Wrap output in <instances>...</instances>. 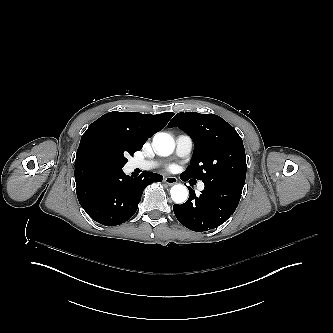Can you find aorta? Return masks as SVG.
Returning <instances> with one entry per match:
<instances>
[{
    "instance_id": "aorta-1",
    "label": "aorta",
    "mask_w": 333,
    "mask_h": 333,
    "mask_svg": "<svg viewBox=\"0 0 333 333\" xmlns=\"http://www.w3.org/2000/svg\"><path fill=\"white\" fill-rule=\"evenodd\" d=\"M153 148L160 156H168L174 151V140L166 132H157L153 137ZM170 195L174 202L183 203L188 197L186 186L182 184H175L170 189Z\"/></svg>"
}]
</instances>
